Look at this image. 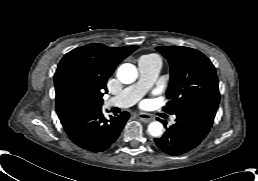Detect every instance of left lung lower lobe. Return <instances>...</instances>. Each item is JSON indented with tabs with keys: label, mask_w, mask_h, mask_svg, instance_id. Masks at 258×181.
I'll list each match as a JSON object with an SVG mask.
<instances>
[{
	"label": "left lung lower lobe",
	"mask_w": 258,
	"mask_h": 181,
	"mask_svg": "<svg viewBox=\"0 0 258 181\" xmlns=\"http://www.w3.org/2000/svg\"><path fill=\"white\" fill-rule=\"evenodd\" d=\"M176 116V123L167 128L161 138L155 139L159 149L173 156L182 155L199 145L208 134L215 114L195 111Z\"/></svg>",
	"instance_id": "1"
}]
</instances>
